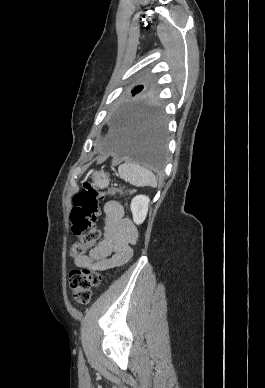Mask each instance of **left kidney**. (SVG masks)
Segmentation results:
<instances>
[{"label":"left kidney","instance_id":"left-kidney-1","mask_svg":"<svg viewBox=\"0 0 265 388\" xmlns=\"http://www.w3.org/2000/svg\"><path fill=\"white\" fill-rule=\"evenodd\" d=\"M149 202L147 196H135L133 198L130 208L135 224H143L147 216Z\"/></svg>","mask_w":265,"mask_h":388}]
</instances>
